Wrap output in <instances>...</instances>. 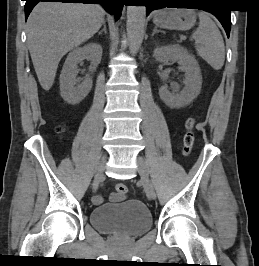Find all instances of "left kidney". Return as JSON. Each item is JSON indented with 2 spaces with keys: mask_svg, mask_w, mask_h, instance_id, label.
<instances>
[{
  "mask_svg": "<svg viewBox=\"0 0 259 266\" xmlns=\"http://www.w3.org/2000/svg\"><path fill=\"white\" fill-rule=\"evenodd\" d=\"M153 55L158 62L177 61L185 72L183 90L179 94H173L167 86H162L159 89L161 100L171 108L190 104L199 95L202 85L201 69L195 57L178 44L157 47Z\"/></svg>",
  "mask_w": 259,
  "mask_h": 266,
  "instance_id": "5707ae66",
  "label": "left kidney"
}]
</instances>
